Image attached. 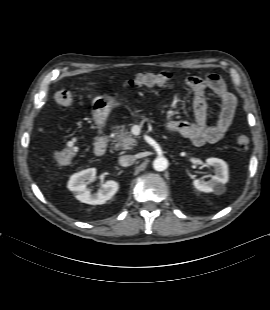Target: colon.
Instances as JSON below:
<instances>
[{"label":"colon","instance_id":"obj_1","mask_svg":"<svg viewBox=\"0 0 270 310\" xmlns=\"http://www.w3.org/2000/svg\"><path fill=\"white\" fill-rule=\"evenodd\" d=\"M172 79L170 73H141L134 78L128 80V86H152V85H168ZM77 98V94L68 91L60 90L55 93V102L63 108L71 107ZM236 143L239 149L246 151L250 146V137L247 134H239L236 137ZM79 153V147L76 139H68L63 146L54 153L55 161L60 165L69 164L74 160Z\"/></svg>","mask_w":270,"mask_h":310}]
</instances>
